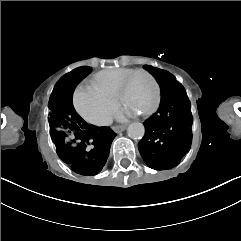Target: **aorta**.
Here are the masks:
<instances>
[{
  "mask_svg": "<svg viewBox=\"0 0 241 241\" xmlns=\"http://www.w3.org/2000/svg\"><path fill=\"white\" fill-rule=\"evenodd\" d=\"M128 136L134 140H140L144 137L145 128L141 123H131L127 129Z\"/></svg>",
  "mask_w": 241,
  "mask_h": 241,
  "instance_id": "aorta-1",
  "label": "aorta"
}]
</instances>
